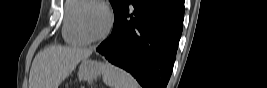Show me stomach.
<instances>
[{
  "label": "stomach",
  "instance_id": "0dacf381",
  "mask_svg": "<svg viewBox=\"0 0 267 88\" xmlns=\"http://www.w3.org/2000/svg\"><path fill=\"white\" fill-rule=\"evenodd\" d=\"M101 74H102V63L91 59L82 60L78 71V77L80 80L83 81L93 80Z\"/></svg>",
  "mask_w": 267,
  "mask_h": 88
}]
</instances>
